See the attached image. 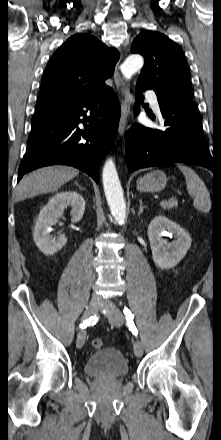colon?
Returning a JSON list of instances; mask_svg holds the SVG:
<instances>
[{"instance_id": "5ec220e1", "label": "colon", "mask_w": 221, "mask_h": 440, "mask_svg": "<svg viewBox=\"0 0 221 440\" xmlns=\"http://www.w3.org/2000/svg\"><path fill=\"white\" fill-rule=\"evenodd\" d=\"M91 345L94 349L99 350L103 348L104 342L101 339H94L92 340Z\"/></svg>"}]
</instances>
